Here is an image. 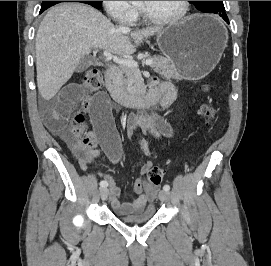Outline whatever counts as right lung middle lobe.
I'll return each instance as SVG.
<instances>
[{"instance_id": "1", "label": "right lung middle lobe", "mask_w": 271, "mask_h": 266, "mask_svg": "<svg viewBox=\"0 0 271 266\" xmlns=\"http://www.w3.org/2000/svg\"><path fill=\"white\" fill-rule=\"evenodd\" d=\"M60 2H82V3L92 5L98 9H100L102 6V1H42L41 10H46L49 7H51L55 4H58Z\"/></svg>"}]
</instances>
